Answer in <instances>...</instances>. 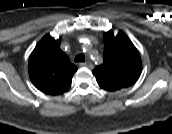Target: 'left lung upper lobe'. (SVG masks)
<instances>
[{
  "label": "left lung upper lobe",
  "mask_w": 172,
  "mask_h": 134,
  "mask_svg": "<svg viewBox=\"0 0 172 134\" xmlns=\"http://www.w3.org/2000/svg\"><path fill=\"white\" fill-rule=\"evenodd\" d=\"M104 61L92 73L99 86L116 91L133 85L140 77L142 62L138 50L123 31L104 33Z\"/></svg>",
  "instance_id": "1"
}]
</instances>
